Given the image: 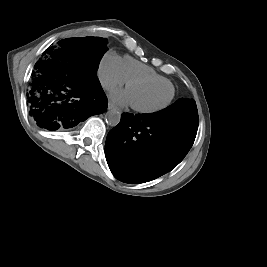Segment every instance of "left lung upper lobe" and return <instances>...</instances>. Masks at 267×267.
Masks as SVG:
<instances>
[{"instance_id":"obj_1","label":"left lung upper lobe","mask_w":267,"mask_h":267,"mask_svg":"<svg viewBox=\"0 0 267 267\" xmlns=\"http://www.w3.org/2000/svg\"><path fill=\"white\" fill-rule=\"evenodd\" d=\"M158 114H181L198 118L196 103L193 99L181 98L171 106L157 112Z\"/></svg>"}]
</instances>
